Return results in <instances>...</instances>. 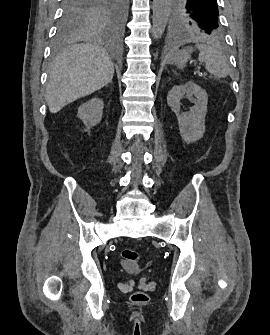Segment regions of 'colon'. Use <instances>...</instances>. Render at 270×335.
Wrapping results in <instances>:
<instances>
[{"label": "colon", "mask_w": 270, "mask_h": 335, "mask_svg": "<svg viewBox=\"0 0 270 335\" xmlns=\"http://www.w3.org/2000/svg\"><path fill=\"white\" fill-rule=\"evenodd\" d=\"M140 253L134 248H124L121 251V263L126 269H136L139 264ZM148 294L142 291L131 294V300L135 303H146Z\"/></svg>", "instance_id": "colon-1"}]
</instances>
